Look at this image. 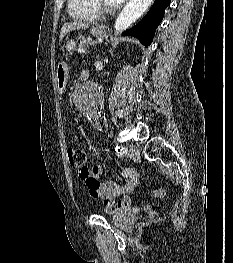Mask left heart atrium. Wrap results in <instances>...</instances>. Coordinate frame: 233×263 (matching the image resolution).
<instances>
[{
  "label": "left heart atrium",
  "mask_w": 233,
  "mask_h": 263,
  "mask_svg": "<svg viewBox=\"0 0 233 263\" xmlns=\"http://www.w3.org/2000/svg\"><path fill=\"white\" fill-rule=\"evenodd\" d=\"M115 4H119V3H122L123 1L125 0H113Z\"/></svg>",
  "instance_id": "left-heart-atrium-1"
}]
</instances>
